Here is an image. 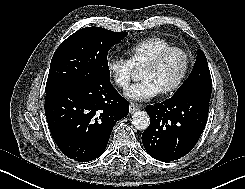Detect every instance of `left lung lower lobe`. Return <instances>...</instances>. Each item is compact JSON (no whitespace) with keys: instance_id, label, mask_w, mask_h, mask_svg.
Wrapping results in <instances>:
<instances>
[{"instance_id":"0a47b994","label":"left lung lower lobe","mask_w":245,"mask_h":189,"mask_svg":"<svg viewBox=\"0 0 245 189\" xmlns=\"http://www.w3.org/2000/svg\"><path fill=\"white\" fill-rule=\"evenodd\" d=\"M210 97L199 93L173 96L145 110L150 125L142 134L147 153L159 161L180 159L193 149L208 117Z\"/></svg>"}]
</instances>
